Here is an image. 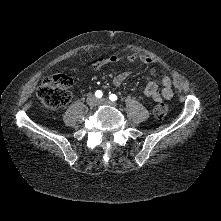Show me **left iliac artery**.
<instances>
[{"mask_svg":"<svg viewBox=\"0 0 221 221\" xmlns=\"http://www.w3.org/2000/svg\"><path fill=\"white\" fill-rule=\"evenodd\" d=\"M109 99L111 101H116L117 100V96L115 94H110Z\"/></svg>","mask_w":221,"mask_h":221,"instance_id":"44dca946","label":"left iliac artery"}]
</instances>
